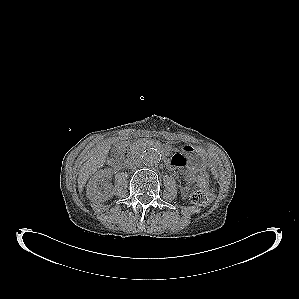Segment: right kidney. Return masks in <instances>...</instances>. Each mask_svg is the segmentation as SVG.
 I'll return each mask as SVG.
<instances>
[{
    "label": "right kidney",
    "mask_w": 299,
    "mask_h": 299,
    "mask_svg": "<svg viewBox=\"0 0 299 299\" xmlns=\"http://www.w3.org/2000/svg\"><path fill=\"white\" fill-rule=\"evenodd\" d=\"M108 170L97 171L89 180L87 184V197L92 201H106L112 196L113 186L108 181L110 176Z\"/></svg>",
    "instance_id": "ca27d5eb"
}]
</instances>
